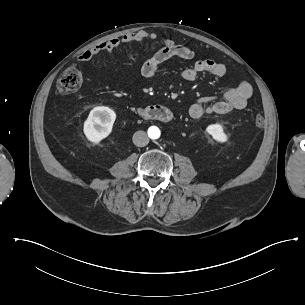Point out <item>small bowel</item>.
Wrapping results in <instances>:
<instances>
[{"label": "small bowel", "instance_id": "1", "mask_svg": "<svg viewBox=\"0 0 305 305\" xmlns=\"http://www.w3.org/2000/svg\"><path fill=\"white\" fill-rule=\"evenodd\" d=\"M123 36L124 43L154 41L161 44V49L145 61L141 67V74L147 79L156 78L159 74V67L170 58L178 57L185 60H193L195 58V53L192 49L176 44L172 39L161 33L142 30L127 33ZM120 45L119 39L110 37L106 42L98 43L91 50L81 53L79 58L81 60L90 59L100 52L112 48L117 49ZM200 73H210L215 77L222 78L227 74V67L209 58L197 59L192 66L182 72V78L187 82H192ZM252 94L253 89L251 84L246 80H241L235 87L228 89L221 99L214 96L198 98L190 105L189 115L192 118H200L209 114L226 113L233 109L241 110L246 107Z\"/></svg>", "mask_w": 305, "mask_h": 305}]
</instances>
